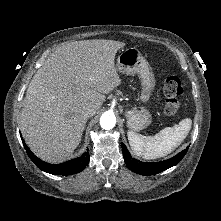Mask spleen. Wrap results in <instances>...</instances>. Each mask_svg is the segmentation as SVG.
<instances>
[{
  "label": "spleen",
  "mask_w": 221,
  "mask_h": 221,
  "mask_svg": "<svg viewBox=\"0 0 221 221\" xmlns=\"http://www.w3.org/2000/svg\"><path fill=\"white\" fill-rule=\"evenodd\" d=\"M191 125L192 120L186 118L173 127L162 129L155 136H143L133 131H128L127 136L135 155L144 159H156L175 150L188 135Z\"/></svg>",
  "instance_id": "3e777b00"
}]
</instances>
